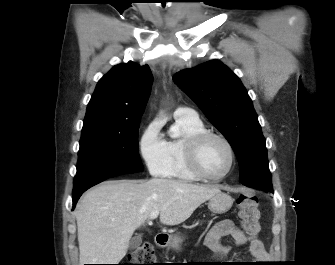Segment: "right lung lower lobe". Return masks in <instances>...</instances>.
Returning <instances> with one entry per match:
<instances>
[{"instance_id":"right-lung-lower-lobe-1","label":"right lung lower lobe","mask_w":335,"mask_h":265,"mask_svg":"<svg viewBox=\"0 0 335 265\" xmlns=\"http://www.w3.org/2000/svg\"><path fill=\"white\" fill-rule=\"evenodd\" d=\"M104 180H105V179H104ZM104 180H99V181L93 182V183H91V184H89V185H86V186L81 187L80 189H78V190H76V191H73V194H72V195H73V209L75 208V205H76L78 199L80 198V196H81L87 189H89L90 187H92V186H94V185H96V184H98V183H100V182H102V181H104Z\"/></svg>"}]
</instances>
